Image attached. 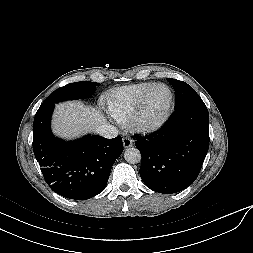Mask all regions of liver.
Instances as JSON below:
<instances>
[{"mask_svg":"<svg viewBox=\"0 0 253 253\" xmlns=\"http://www.w3.org/2000/svg\"><path fill=\"white\" fill-rule=\"evenodd\" d=\"M106 122L105 117L96 108L86 106L80 101L60 103L53 116V132L61 137L72 138Z\"/></svg>","mask_w":253,"mask_h":253,"instance_id":"liver-1","label":"liver"}]
</instances>
